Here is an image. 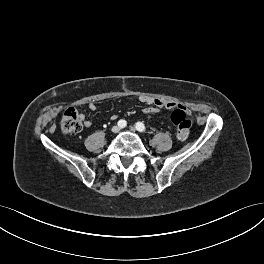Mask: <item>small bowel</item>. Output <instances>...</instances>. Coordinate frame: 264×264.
<instances>
[{
  "label": "small bowel",
  "mask_w": 264,
  "mask_h": 264,
  "mask_svg": "<svg viewBox=\"0 0 264 264\" xmlns=\"http://www.w3.org/2000/svg\"><path fill=\"white\" fill-rule=\"evenodd\" d=\"M141 102L145 103L146 105H148V107H146L143 111L146 114H154L157 113L161 108H165V109H172L175 108L177 105L176 103L172 102V101H165V100H160V99H153L150 97H143L141 98ZM88 108L91 111H95L97 109V106L95 103H90L88 105ZM81 120H83L85 127H90L91 126V121L86 119L84 115H80ZM113 119L116 118V116L114 115L112 117Z\"/></svg>",
  "instance_id": "1"
}]
</instances>
